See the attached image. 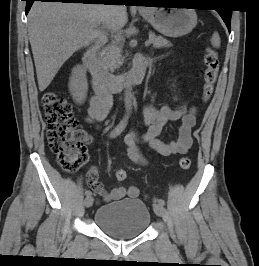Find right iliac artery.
Returning a JSON list of instances; mask_svg holds the SVG:
<instances>
[{"instance_id": "right-iliac-artery-1", "label": "right iliac artery", "mask_w": 259, "mask_h": 266, "mask_svg": "<svg viewBox=\"0 0 259 266\" xmlns=\"http://www.w3.org/2000/svg\"><path fill=\"white\" fill-rule=\"evenodd\" d=\"M127 125V117H125L121 122L115 127V129L111 132L110 137L115 138L118 136L126 127ZM86 197H91L92 193L90 190L85 191Z\"/></svg>"}]
</instances>
